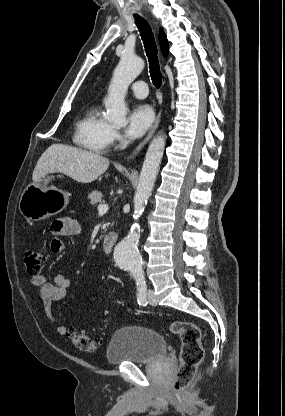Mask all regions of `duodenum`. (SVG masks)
Returning a JSON list of instances; mask_svg holds the SVG:
<instances>
[{
  "label": "duodenum",
  "mask_w": 285,
  "mask_h": 416,
  "mask_svg": "<svg viewBox=\"0 0 285 416\" xmlns=\"http://www.w3.org/2000/svg\"><path fill=\"white\" fill-rule=\"evenodd\" d=\"M117 241V236L114 233L108 234L102 241V249L105 254H109L112 251L114 244Z\"/></svg>",
  "instance_id": "duodenum-1"
}]
</instances>
